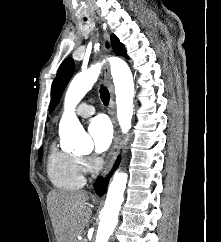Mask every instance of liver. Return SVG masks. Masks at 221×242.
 <instances>
[{
    "mask_svg": "<svg viewBox=\"0 0 221 242\" xmlns=\"http://www.w3.org/2000/svg\"><path fill=\"white\" fill-rule=\"evenodd\" d=\"M86 191H52L47 197L57 242H77L87 226L91 208Z\"/></svg>",
    "mask_w": 221,
    "mask_h": 242,
    "instance_id": "liver-1",
    "label": "liver"
}]
</instances>
